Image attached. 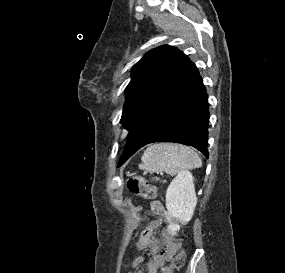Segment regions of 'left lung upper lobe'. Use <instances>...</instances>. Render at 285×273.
<instances>
[{
  "label": "left lung upper lobe",
  "mask_w": 285,
  "mask_h": 273,
  "mask_svg": "<svg viewBox=\"0 0 285 273\" xmlns=\"http://www.w3.org/2000/svg\"><path fill=\"white\" fill-rule=\"evenodd\" d=\"M188 60L182 51L163 45L147 52L133 66L120 121L125 128L133 127L162 99L179 79Z\"/></svg>",
  "instance_id": "1"
}]
</instances>
